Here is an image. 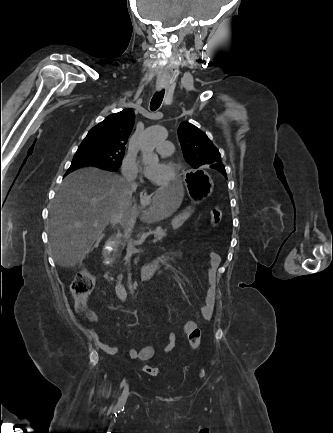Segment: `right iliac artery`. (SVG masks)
I'll list each match as a JSON object with an SVG mask.
<instances>
[{"label": "right iliac artery", "mask_w": 333, "mask_h": 433, "mask_svg": "<svg viewBox=\"0 0 333 433\" xmlns=\"http://www.w3.org/2000/svg\"><path fill=\"white\" fill-rule=\"evenodd\" d=\"M126 379H124L121 383V387L123 385H125ZM128 392H129V388H124L123 393L121 395V397L119 398V401L117 403V408H121L122 406H124L127 396H128Z\"/></svg>", "instance_id": "right-iliac-artery-1"}]
</instances>
